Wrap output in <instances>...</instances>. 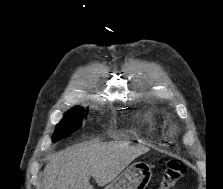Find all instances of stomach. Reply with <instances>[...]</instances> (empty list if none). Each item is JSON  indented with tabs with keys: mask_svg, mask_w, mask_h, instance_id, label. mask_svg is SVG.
Instances as JSON below:
<instances>
[{
	"mask_svg": "<svg viewBox=\"0 0 223 189\" xmlns=\"http://www.w3.org/2000/svg\"><path fill=\"white\" fill-rule=\"evenodd\" d=\"M151 177L150 166L136 162L123 170L105 189H145Z\"/></svg>",
	"mask_w": 223,
	"mask_h": 189,
	"instance_id": "0dacf381",
	"label": "stomach"
}]
</instances>
